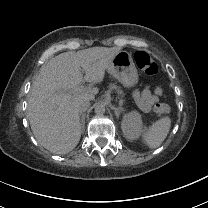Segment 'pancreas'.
Returning a JSON list of instances; mask_svg holds the SVG:
<instances>
[{
	"instance_id": "cf45deb5",
	"label": "pancreas",
	"mask_w": 208,
	"mask_h": 208,
	"mask_svg": "<svg viewBox=\"0 0 208 208\" xmlns=\"http://www.w3.org/2000/svg\"><path fill=\"white\" fill-rule=\"evenodd\" d=\"M116 90L117 91V93L119 94V95H124L123 94V91L120 89V87L119 86H117V85H115V84H110L109 85V91L110 90Z\"/></svg>"
}]
</instances>
